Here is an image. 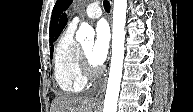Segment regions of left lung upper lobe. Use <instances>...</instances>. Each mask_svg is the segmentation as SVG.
Returning a JSON list of instances; mask_svg holds the SVG:
<instances>
[{
    "mask_svg": "<svg viewBox=\"0 0 193 112\" xmlns=\"http://www.w3.org/2000/svg\"><path fill=\"white\" fill-rule=\"evenodd\" d=\"M72 3V0H57L53 11H52V16H51V22H50V44L54 42V39L57 38V32H56V27H57V22L59 19V16L64 10H67V8L70 6Z\"/></svg>",
    "mask_w": 193,
    "mask_h": 112,
    "instance_id": "obj_1",
    "label": "left lung upper lobe"
}]
</instances>
